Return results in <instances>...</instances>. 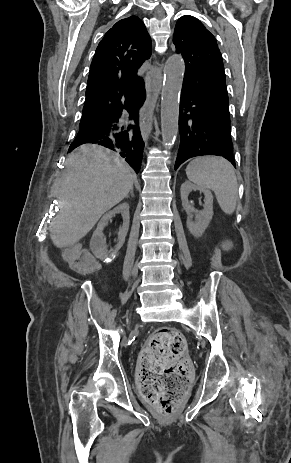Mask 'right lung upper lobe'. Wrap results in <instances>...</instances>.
I'll use <instances>...</instances> for the list:
<instances>
[{
	"mask_svg": "<svg viewBox=\"0 0 291 463\" xmlns=\"http://www.w3.org/2000/svg\"><path fill=\"white\" fill-rule=\"evenodd\" d=\"M151 56V39L142 20L117 22L100 41L88 77L82 119L92 120L121 108L143 90L138 69Z\"/></svg>",
	"mask_w": 291,
	"mask_h": 463,
	"instance_id": "right-lung-upper-lobe-1",
	"label": "right lung upper lobe"
}]
</instances>
